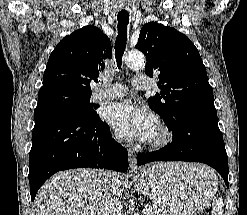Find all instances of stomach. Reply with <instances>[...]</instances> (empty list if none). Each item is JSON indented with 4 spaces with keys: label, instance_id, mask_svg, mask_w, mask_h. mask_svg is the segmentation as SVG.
<instances>
[{
    "label": "stomach",
    "instance_id": "obj_1",
    "mask_svg": "<svg viewBox=\"0 0 247 215\" xmlns=\"http://www.w3.org/2000/svg\"><path fill=\"white\" fill-rule=\"evenodd\" d=\"M136 189L168 215H196L215 195L217 178L204 165L158 163L138 176Z\"/></svg>",
    "mask_w": 247,
    "mask_h": 215
}]
</instances>
